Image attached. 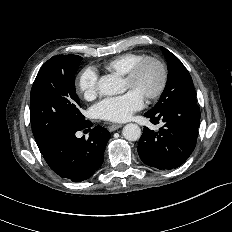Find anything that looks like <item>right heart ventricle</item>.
<instances>
[{
	"label": "right heart ventricle",
	"mask_w": 232,
	"mask_h": 232,
	"mask_svg": "<svg viewBox=\"0 0 232 232\" xmlns=\"http://www.w3.org/2000/svg\"><path fill=\"white\" fill-rule=\"evenodd\" d=\"M144 57L145 56L140 53H123L106 62L105 67L110 71L126 75L131 67Z\"/></svg>",
	"instance_id": "obj_1"
}]
</instances>
